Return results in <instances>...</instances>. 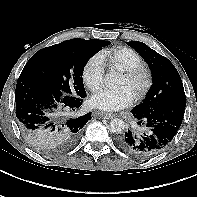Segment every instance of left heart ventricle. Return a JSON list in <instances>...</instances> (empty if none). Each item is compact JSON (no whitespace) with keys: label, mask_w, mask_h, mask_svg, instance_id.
<instances>
[{"label":"left heart ventricle","mask_w":197,"mask_h":197,"mask_svg":"<svg viewBox=\"0 0 197 197\" xmlns=\"http://www.w3.org/2000/svg\"><path fill=\"white\" fill-rule=\"evenodd\" d=\"M119 85L121 87H127V88H129L132 91L133 94H135L136 89H137L136 84H132L131 82H129V80L124 75L122 76Z\"/></svg>","instance_id":"left-heart-ventricle-1"}]
</instances>
